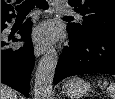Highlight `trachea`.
Here are the masks:
<instances>
[{
    "instance_id": "trachea-1",
    "label": "trachea",
    "mask_w": 115,
    "mask_h": 99,
    "mask_svg": "<svg viewBox=\"0 0 115 99\" xmlns=\"http://www.w3.org/2000/svg\"><path fill=\"white\" fill-rule=\"evenodd\" d=\"M35 6L40 9L46 10L48 9V2L45 0H25L21 5L16 7L18 16L27 15Z\"/></svg>"
}]
</instances>
